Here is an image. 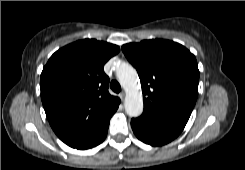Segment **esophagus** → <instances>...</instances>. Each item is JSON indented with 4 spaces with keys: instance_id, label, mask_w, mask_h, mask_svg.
I'll return each instance as SVG.
<instances>
[{
    "instance_id": "obj_1",
    "label": "esophagus",
    "mask_w": 245,
    "mask_h": 170,
    "mask_svg": "<svg viewBox=\"0 0 245 170\" xmlns=\"http://www.w3.org/2000/svg\"><path fill=\"white\" fill-rule=\"evenodd\" d=\"M119 96H120L121 100L124 101L125 93L123 91L119 94Z\"/></svg>"
}]
</instances>
